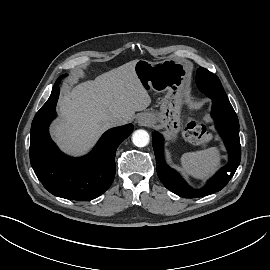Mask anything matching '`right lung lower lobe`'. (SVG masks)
I'll use <instances>...</instances> for the list:
<instances>
[{
  "label": "right lung lower lobe",
  "instance_id": "right-lung-lower-lobe-1",
  "mask_svg": "<svg viewBox=\"0 0 270 270\" xmlns=\"http://www.w3.org/2000/svg\"><path fill=\"white\" fill-rule=\"evenodd\" d=\"M60 89L54 85L47 102L36 113L31 125V166L51 194L87 201L102 195L115 176V153L119 144L133 131V125L108 130L88 155L72 158L63 154L51 140L48 127L55 117Z\"/></svg>",
  "mask_w": 270,
  "mask_h": 270
}]
</instances>
